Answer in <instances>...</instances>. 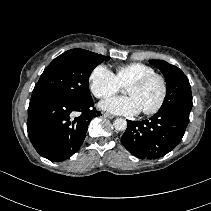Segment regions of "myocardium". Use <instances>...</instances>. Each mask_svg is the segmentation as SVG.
<instances>
[{"label": "myocardium", "instance_id": "f54148a6", "mask_svg": "<svg viewBox=\"0 0 211 211\" xmlns=\"http://www.w3.org/2000/svg\"><path fill=\"white\" fill-rule=\"evenodd\" d=\"M155 79H158L161 82L162 94H161L160 100L156 104V106H154L153 108H151L149 110L143 111V114L147 115V116L154 115V114L158 113L162 109L163 105L165 104V101L167 99V94H168V84H167L166 78L161 74L153 73V74H150V75H147L140 79L135 80L128 86V88L129 87H143Z\"/></svg>", "mask_w": 211, "mask_h": 211}]
</instances>
